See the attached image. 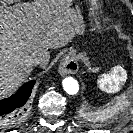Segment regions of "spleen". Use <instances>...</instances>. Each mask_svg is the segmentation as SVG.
<instances>
[{
  "instance_id": "obj_1",
  "label": "spleen",
  "mask_w": 133,
  "mask_h": 133,
  "mask_svg": "<svg viewBox=\"0 0 133 133\" xmlns=\"http://www.w3.org/2000/svg\"><path fill=\"white\" fill-rule=\"evenodd\" d=\"M117 76L116 75H113V74H104L103 75V79L105 80V81H107V82H109V80L110 79H115ZM111 86H112V84L111 83H109ZM113 87V86H112ZM111 87V88H112ZM112 89H115L114 87L112 88ZM123 104H124V102L122 101H119L118 102V106H120V108H122L123 107Z\"/></svg>"
}]
</instances>
